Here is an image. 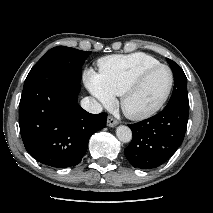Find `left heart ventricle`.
Returning a JSON list of instances; mask_svg holds the SVG:
<instances>
[{"label": "left heart ventricle", "mask_w": 213, "mask_h": 213, "mask_svg": "<svg viewBox=\"0 0 213 213\" xmlns=\"http://www.w3.org/2000/svg\"><path fill=\"white\" fill-rule=\"evenodd\" d=\"M169 80V72L164 68L150 73L127 99V109L139 112L153 106L164 95L169 85Z\"/></svg>", "instance_id": "left-heart-ventricle-1"}]
</instances>
